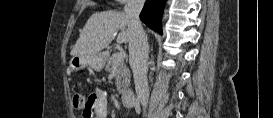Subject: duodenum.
<instances>
[{
	"label": "duodenum",
	"mask_w": 273,
	"mask_h": 118,
	"mask_svg": "<svg viewBox=\"0 0 273 118\" xmlns=\"http://www.w3.org/2000/svg\"><path fill=\"white\" fill-rule=\"evenodd\" d=\"M121 100L125 107H135L137 105L136 94L131 90L123 92Z\"/></svg>",
	"instance_id": "1"
}]
</instances>
